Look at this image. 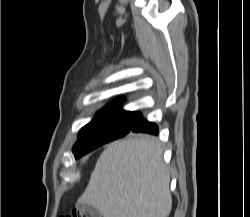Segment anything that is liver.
Segmentation results:
<instances>
[{"mask_svg": "<svg viewBox=\"0 0 250 217\" xmlns=\"http://www.w3.org/2000/svg\"><path fill=\"white\" fill-rule=\"evenodd\" d=\"M159 142L148 136L111 143L98 158L78 203L103 217H167L170 175Z\"/></svg>", "mask_w": 250, "mask_h": 217, "instance_id": "liver-1", "label": "liver"}]
</instances>
